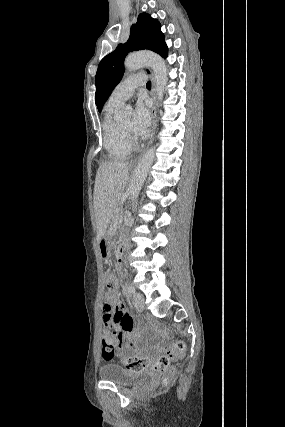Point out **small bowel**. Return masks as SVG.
<instances>
[{
    "label": "small bowel",
    "mask_w": 285,
    "mask_h": 427,
    "mask_svg": "<svg viewBox=\"0 0 285 427\" xmlns=\"http://www.w3.org/2000/svg\"><path fill=\"white\" fill-rule=\"evenodd\" d=\"M101 310L104 327L109 328L113 324L118 323L123 330V340L133 339L132 321L125 311L124 304L119 300L116 291H114L111 300L102 302Z\"/></svg>",
    "instance_id": "obj_1"
}]
</instances>
